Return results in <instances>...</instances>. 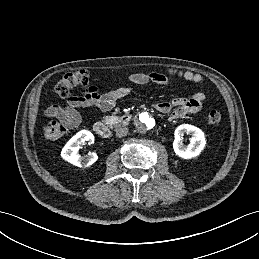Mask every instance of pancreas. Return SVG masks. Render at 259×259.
<instances>
[{"mask_svg":"<svg viewBox=\"0 0 259 259\" xmlns=\"http://www.w3.org/2000/svg\"><path fill=\"white\" fill-rule=\"evenodd\" d=\"M115 120H116V117H114V116H108V117L105 118V122L108 123V124L114 123Z\"/></svg>","mask_w":259,"mask_h":259,"instance_id":"pancreas-1","label":"pancreas"}]
</instances>
